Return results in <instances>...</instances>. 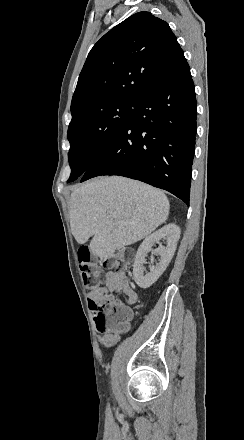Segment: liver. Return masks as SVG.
<instances>
[{
    "mask_svg": "<svg viewBox=\"0 0 244 440\" xmlns=\"http://www.w3.org/2000/svg\"><path fill=\"white\" fill-rule=\"evenodd\" d=\"M69 206L76 242L85 244L93 236L89 250L101 260L149 236L167 220L170 210L164 192L121 176L88 180L72 192ZM115 220L124 224L117 226Z\"/></svg>",
    "mask_w": 244,
    "mask_h": 440,
    "instance_id": "6515ba94",
    "label": "liver"
}]
</instances>
